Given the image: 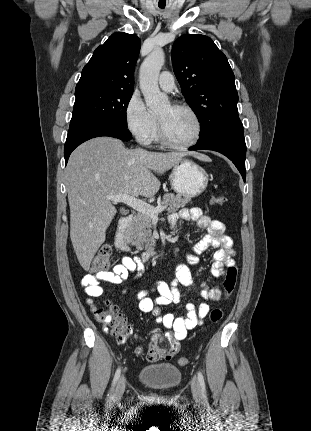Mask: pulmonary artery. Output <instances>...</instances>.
I'll return each mask as SVG.
<instances>
[{
    "instance_id": "obj_1",
    "label": "pulmonary artery",
    "mask_w": 311,
    "mask_h": 431,
    "mask_svg": "<svg viewBox=\"0 0 311 431\" xmlns=\"http://www.w3.org/2000/svg\"><path fill=\"white\" fill-rule=\"evenodd\" d=\"M159 87L165 92H172L175 87V79L169 71H163L158 78Z\"/></svg>"
}]
</instances>
